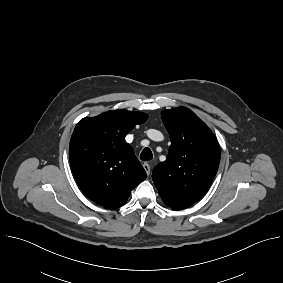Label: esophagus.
Returning a JSON list of instances; mask_svg holds the SVG:
<instances>
[{
    "label": "esophagus",
    "mask_w": 283,
    "mask_h": 283,
    "mask_svg": "<svg viewBox=\"0 0 283 283\" xmlns=\"http://www.w3.org/2000/svg\"><path fill=\"white\" fill-rule=\"evenodd\" d=\"M143 168L145 169L147 175H150L151 167H150L149 163L145 162L143 164Z\"/></svg>",
    "instance_id": "1"
}]
</instances>
